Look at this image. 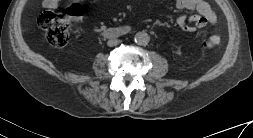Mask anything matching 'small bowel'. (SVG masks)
Here are the masks:
<instances>
[{"label": "small bowel", "instance_id": "small-bowel-1", "mask_svg": "<svg viewBox=\"0 0 253 138\" xmlns=\"http://www.w3.org/2000/svg\"><path fill=\"white\" fill-rule=\"evenodd\" d=\"M47 7L55 5V0H44ZM187 6H192L197 9L198 13L191 17V23L187 22V17L182 14L178 17L177 23L186 31H195L196 28L206 26L208 23L215 21V15L209 5L203 0H187Z\"/></svg>", "mask_w": 253, "mask_h": 138}]
</instances>
